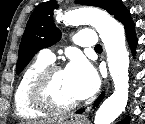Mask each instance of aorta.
<instances>
[{
	"label": "aorta",
	"instance_id": "1",
	"mask_svg": "<svg viewBox=\"0 0 145 124\" xmlns=\"http://www.w3.org/2000/svg\"><path fill=\"white\" fill-rule=\"evenodd\" d=\"M68 25H92L104 44L114 92L99 107L94 124H112L125 110L129 94V54L125 45V31L121 23L99 9H76L65 16Z\"/></svg>",
	"mask_w": 145,
	"mask_h": 124
}]
</instances>
